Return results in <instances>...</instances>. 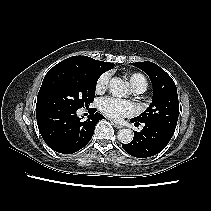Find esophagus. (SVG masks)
<instances>
[{
	"instance_id": "esophagus-1",
	"label": "esophagus",
	"mask_w": 211,
	"mask_h": 211,
	"mask_svg": "<svg viewBox=\"0 0 211 211\" xmlns=\"http://www.w3.org/2000/svg\"><path fill=\"white\" fill-rule=\"evenodd\" d=\"M112 124L114 125V127H115L116 129H122V128H123V126L120 125V124H117V123H114V122H112Z\"/></svg>"
}]
</instances>
